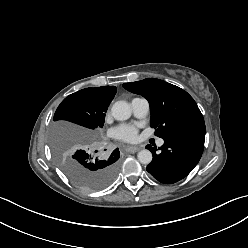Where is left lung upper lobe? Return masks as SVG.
Returning <instances> with one entry per match:
<instances>
[{
  "instance_id": "left-lung-upper-lobe-1",
  "label": "left lung upper lobe",
  "mask_w": 248,
  "mask_h": 248,
  "mask_svg": "<svg viewBox=\"0 0 248 248\" xmlns=\"http://www.w3.org/2000/svg\"><path fill=\"white\" fill-rule=\"evenodd\" d=\"M123 87L145 97L150 104L151 127L166 140L188 127L204 124L194 99L183 89L156 78L125 83Z\"/></svg>"
}]
</instances>
